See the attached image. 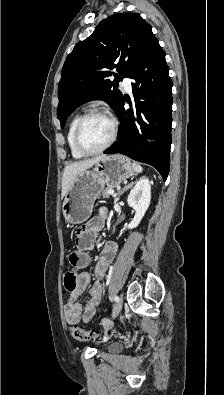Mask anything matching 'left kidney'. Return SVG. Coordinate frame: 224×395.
<instances>
[{
  "mask_svg": "<svg viewBox=\"0 0 224 395\" xmlns=\"http://www.w3.org/2000/svg\"><path fill=\"white\" fill-rule=\"evenodd\" d=\"M150 200L151 183L148 178L142 177L136 182L135 186L132 188L127 197L129 206L135 210V216L128 225L123 227L121 231L133 229L139 225L150 205Z\"/></svg>",
  "mask_w": 224,
  "mask_h": 395,
  "instance_id": "5707ae66",
  "label": "left kidney"
}]
</instances>
